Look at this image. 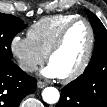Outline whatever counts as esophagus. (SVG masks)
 Returning a JSON list of instances; mask_svg holds the SVG:
<instances>
[{"mask_svg": "<svg viewBox=\"0 0 107 107\" xmlns=\"http://www.w3.org/2000/svg\"><path fill=\"white\" fill-rule=\"evenodd\" d=\"M47 86V83H45V82H42V81H38L37 82V87L38 88H44V87H46Z\"/></svg>", "mask_w": 107, "mask_h": 107, "instance_id": "obj_1", "label": "esophagus"}]
</instances>
